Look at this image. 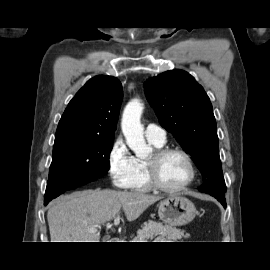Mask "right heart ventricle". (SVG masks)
<instances>
[{"label":"right heart ventricle","mask_w":270,"mask_h":270,"mask_svg":"<svg viewBox=\"0 0 270 270\" xmlns=\"http://www.w3.org/2000/svg\"><path fill=\"white\" fill-rule=\"evenodd\" d=\"M155 148H161L164 143H157L149 140ZM131 189L137 192H148L151 186L148 182L146 173V161L140 158H135V175L132 181Z\"/></svg>","instance_id":"obj_1"}]
</instances>
